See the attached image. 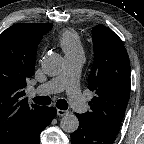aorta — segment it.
I'll return each mask as SVG.
<instances>
[{
	"mask_svg": "<svg viewBox=\"0 0 144 144\" xmlns=\"http://www.w3.org/2000/svg\"><path fill=\"white\" fill-rule=\"evenodd\" d=\"M41 65L45 74L55 76L63 69V58L57 53H49L43 57ZM60 126L63 131L73 133L79 127V120L74 114H66L62 117Z\"/></svg>",
	"mask_w": 144,
	"mask_h": 144,
	"instance_id": "1",
	"label": "aorta"
}]
</instances>
